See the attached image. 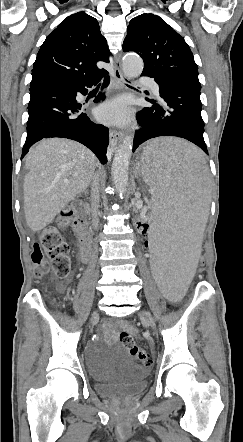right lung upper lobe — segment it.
<instances>
[{
    "mask_svg": "<svg viewBox=\"0 0 243 442\" xmlns=\"http://www.w3.org/2000/svg\"><path fill=\"white\" fill-rule=\"evenodd\" d=\"M98 61L109 62L107 41L97 20L78 12L47 36L34 62L30 86L89 80L106 71L96 66Z\"/></svg>",
    "mask_w": 243,
    "mask_h": 442,
    "instance_id": "1",
    "label": "right lung upper lobe"
}]
</instances>
